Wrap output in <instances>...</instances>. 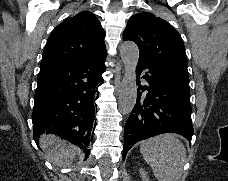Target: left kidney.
I'll return each mask as SVG.
<instances>
[{
	"label": "left kidney",
	"mask_w": 228,
	"mask_h": 181,
	"mask_svg": "<svg viewBox=\"0 0 228 181\" xmlns=\"http://www.w3.org/2000/svg\"><path fill=\"white\" fill-rule=\"evenodd\" d=\"M139 173H140V177H141V181H150L146 171H144V169H139Z\"/></svg>",
	"instance_id": "left-kidney-1"
}]
</instances>
